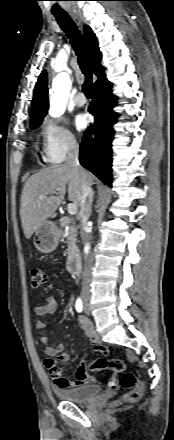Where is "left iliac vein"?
<instances>
[{
    "mask_svg": "<svg viewBox=\"0 0 174 440\" xmlns=\"http://www.w3.org/2000/svg\"><path fill=\"white\" fill-rule=\"evenodd\" d=\"M84 310H85V313H86L87 315H89V314H90V310H89V308H88V306H87V305L85 306Z\"/></svg>",
    "mask_w": 174,
    "mask_h": 440,
    "instance_id": "1",
    "label": "left iliac vein"
}]
</instances>
